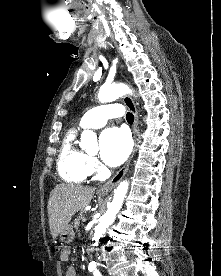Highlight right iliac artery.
<instances>
[{
    "instance_id": "obj_1",
    "label": "right iliac artery",
    "mask_w": 221,
    "mask_h": 276,
    "mask_svg": "<svg viewBox=\"0 0 221 276\" xmlns=\"http://www.w3.org/2000/svg\"><path fill=\"white\" fill-rule=\"evenodd\" d=\"M93 269H94V268H91V267H90V268H89V271H92Z\"/></svg>"
}]
</instances>
